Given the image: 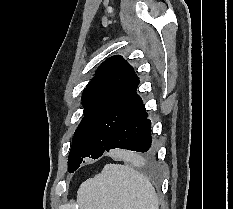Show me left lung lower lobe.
I'll return each mask as SVG.
<instances>
[{
    "mask_svg": "<svg viewBox=\"0 0 233 209\" xmlns=\"http://www.w3.org/2000/svg\"><path fill=\"white\" fill-rule=\"evenodd\" d=\"M147 117L143 101L140 96H137L130 109L114 128L105 151L121 148L136 152H148L152 138L151 121ZM149 156L152 157L151 154ZM78 168L79 166L75 170Z\"/></svg>",
    "mask_w": 233,
    "mask_h": 209,
    "instance_id": "obj_1",
    "label": "left lung lower lobe"
}]
</instances>
